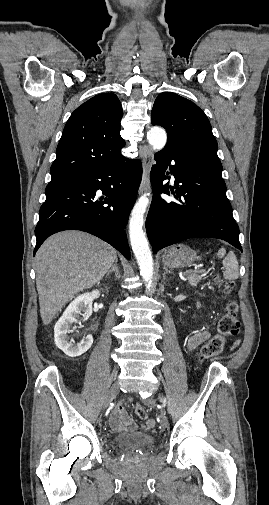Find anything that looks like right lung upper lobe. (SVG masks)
Wrapping results in <instances>:
<instances>
[{"label":"right lung upper lobe","mask_w":269,"mask_h":505,"mask_svg":"<svg viewBox=\"0 0 269 505\" xmlns=\"http://www.w3.org/2000/svg\"><path fill=\"white\" fill-rule=\"evenodd\" d=\"M121 103L102 93L79 106L68 119L56 150L50 183L71 179L121 157Z\"/></svg>","instance_id":"obj_1"}]
</instances>
